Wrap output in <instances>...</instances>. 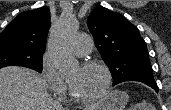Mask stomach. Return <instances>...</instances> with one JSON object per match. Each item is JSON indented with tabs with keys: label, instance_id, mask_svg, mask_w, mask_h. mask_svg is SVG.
<instances>
[{
	"label": "stomach",
	"instance_id": "0dacf381",
	"mask_svg": "<svg viewBox=\"0 0 171 110\" xmlns=\"http://www.w3.org/2000/svg\"><path fill=\"white\" fill-rule=\"evenodd\" d=\"M128 102V95L122 91H111L107 98L94 109L90 110H124Z\"/></svg>",
	"mask_w": 171,
	"mask_h": 110
}]
</instances>
